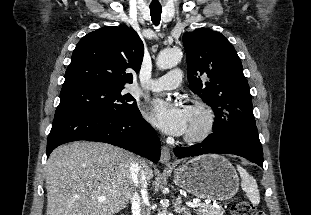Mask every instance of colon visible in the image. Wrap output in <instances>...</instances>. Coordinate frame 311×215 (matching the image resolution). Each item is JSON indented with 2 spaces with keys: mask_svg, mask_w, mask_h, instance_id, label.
Segmentation results:
<instances>
[{
  "mask_svg": "<svg viewBox=\"0 0 311 215\" xmlns=\"http://www.w3.org/2000/svg\"><path fill=\"white\" fill-rule=\"evenodd\" d=\"M232 215H266V213L257 211L249 201H239L232 206Z\"/></svg>",
  "mask_w": 311,
  "mask_h": 215,
  "instance_id": "colon-1",
  "label": "colon"
}]
</instances>
